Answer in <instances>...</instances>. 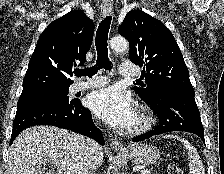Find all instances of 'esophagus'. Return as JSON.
<instances>
[{"label": "esophagus", "instance_id": "1", "mask_svg": "<svg viewBox=\"0 0 224 174\" xmlns=\"http://www.w3.org/2000/svg\"><path fill=\"white\" fill-rule=\"evenodd\" d=\"M101 8H102L104 15H108L112 11L113 4L110 0H102ZM110 148H112L114 150H122L123 144L119 139L113 138L110 142Z\"/></svg>", "mask_w": 224, "mask_h": 174}]
</instances>
